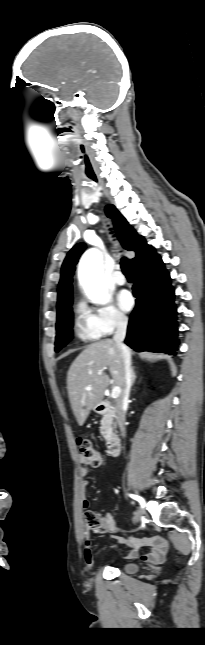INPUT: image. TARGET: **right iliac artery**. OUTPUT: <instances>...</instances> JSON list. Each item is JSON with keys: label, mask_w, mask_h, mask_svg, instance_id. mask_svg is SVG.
<instances>
[{"label": "right iliac artery", "mask_w": 205, "mask_h": 645, "mask_svg": "<svg viewBox=\"0 0 205 645\" xmlns=\"http://www.w3.org/2000/svg\"><path fill=\"white\" fill-rule=\"evenodd\" d=\"M129 496H130L132 499L137 500V501L140 503V505H141L142 507H144V505H145V501H144V499H143L142 497H140V496H138V495H134V494H130Z\"/></svg>", "instance_id": "82829eb1"}]
</instances>
